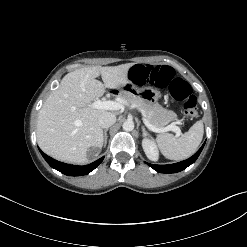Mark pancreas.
I'll return each mask as SVG.
<instances>
[{"label": "pancreas", "mask_w": 247, "mask_h": 247, "mask_svg": "<svg viewBox=\"0 0 247 247\" xmlns=\"http://www.w3.org/2000/svg\"><path fill=\"white\" fill-rule=\"evenodd\" d=\"M121 102L131 105L140 111L143 116L154 126L164 127L169 122L177 120L176 114L173 111L164 109L158 103L149 104L140 98H132L125 95H120Z\"/></svg>", "instance_id": "cf45deb5"}]
</instances>
